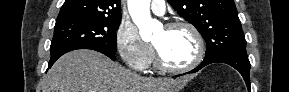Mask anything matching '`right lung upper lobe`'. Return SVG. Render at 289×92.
<instances>
[{"mask_svg": "<svg viewBox=\"0 0 289 92\" xmlns=\"http://www.w3.org/2000/svg\"><path fill=\"white\" fill-rule=\"evenodd\" d=\"M76 17L121 19L120 0H66L57 20Z\"/></svg>", "mask_w": 289, "mask_h": 92, "instance_id": "right-lung-upper-lobe-1", "label": "right lung upper lobe"}]
</instances>
